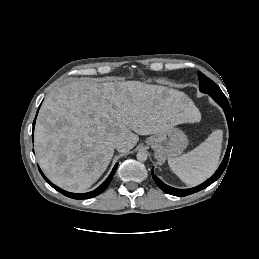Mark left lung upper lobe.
Returning <instances> with one entry per match:
<instances>
[{"instance_id": "obj_1", "label": "left lung upper lobe", "mask_w": 259, "mask_h": 259, "mask_svg": "<svg viewBox=\"0 0 259 259\" xmlns=\"http://www.w3.org/2000/svg\"><path fill=\"white\" fill-rule=\"evenodd\" d=\"M198 77L200 81V91L207 93L208 95L222 96L224 95L221 89L207 76L198 71Z\"/></svg>"}]
</instances>
